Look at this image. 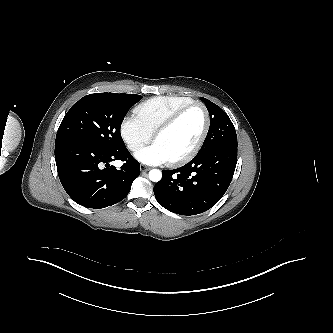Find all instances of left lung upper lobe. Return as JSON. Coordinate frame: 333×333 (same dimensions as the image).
Returning a JSON list of instances; mask_svg holds the SVG:
<instances>
[{
	"label": "left lung upper lobe",
	"instance_id": "1",
	"mask_svg": "<svg viewBox=\"0 0 333 333\" xmlns=\"http://www.w3.org/2000/svg\"><path fill=\"white\" fill-rule=\"evenodd\" d=\"M201 99L208 109L211 123L206 139L198 153L219 146H237L236 131L228 115L208 99Z\"/></svg>",
	"mask_w": 333,
	"mask_h": 333
}]
</instances>
